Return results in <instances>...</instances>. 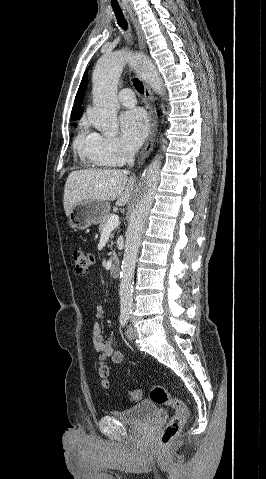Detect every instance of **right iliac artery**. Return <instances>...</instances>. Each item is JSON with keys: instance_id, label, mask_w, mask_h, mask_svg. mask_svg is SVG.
Here are the masks:
<instances>
[{"instance_id": "82829eb1", "label": "right iliac artery", "mask_w": 266, "mask_h": 479, "mask_svg": "<svg viewBox=\"0 0 266 479\" xmlns=\"http://www.w3.org/2000/svg\"><path fill=\"white\" fill-rule=\"evenodd\" d=\"M128 319H129V315L128 314H123L120 316V324L121 326H125L128 322Z\"/></svg>"}]
</instances>
